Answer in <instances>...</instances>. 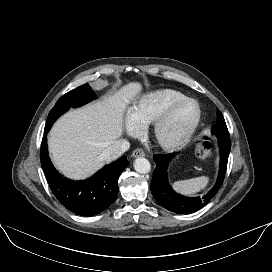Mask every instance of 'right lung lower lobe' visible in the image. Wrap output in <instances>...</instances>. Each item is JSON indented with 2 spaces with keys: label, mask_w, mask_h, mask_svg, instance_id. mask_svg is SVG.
<instances>
[{
  "label": "right lung lower lobe",
  "mask_w": 272,
  "mask_h": 272,
  "mask_svg": "<svg viewBox=\"0 0 272 272\" xmlns=\"http://www.w3.org/2000/svg\"><path fill=\"white\" fill-rule=\"evenodd\" d=\"M50 129H44L48 133ZM40 160L48 184L59 202L81 216H93L107 209L118 194V178L129 162L125 156L104 166L91 178L72 181L58 173L48 156L46 135L42 139Z\"/></svg>",
  "instance_id": "obj_1"
}]
</instances>
